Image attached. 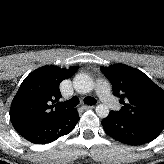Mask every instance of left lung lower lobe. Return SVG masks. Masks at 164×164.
<instances>
[{"instance_id":"obj_1","label":"left lung lower lobe","mask_w":164,"mask_h":164,"mask_svg":"<svg viewBox=\"0 0 164 164\" xmlns=\"http://www.w3.org/2000/svg\"><path fill=\"white\" fill-rule=\"evenodd\" d=\"M101 123L107 135L129 145H141L151 142L162 131V129L144 126L124 119L113 111H110Z\"/></svg>"}]
</instances>
